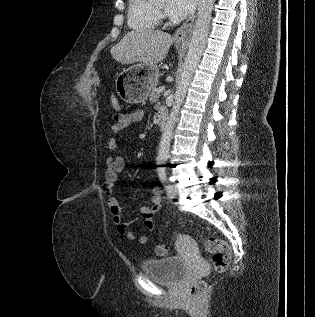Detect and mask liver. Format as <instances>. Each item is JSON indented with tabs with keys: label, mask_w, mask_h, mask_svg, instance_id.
<instances>
[{
	"label": "liver",
	"mask_w": 315,
	"mask_h": 317,
	"mask_svg": "<svg viewBox=\"0 0 315 317\" xmlns=\"http://www.w3.org/2000/svg\"><path fill=\"white\" fill-rule=\"evenodd\" d=\"M173 43L170 34L152 29L128 32L111 48L112 57L123 65L140 62L144 66H157L164 60Z\"/></svg>",
	"instance_id": "liver-1"
}]
</instances>
